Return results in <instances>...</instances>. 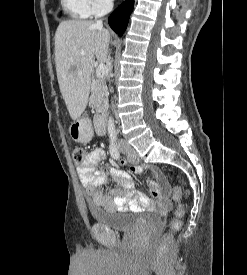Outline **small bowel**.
Listing matches in <instances>:
<instances>
[{"label":"small bowel","mask_w":247,"mask_h":275,"mask_svg":"<svg viewBox=\"0 0 247 275\" xmlns=\"http://www.w3.org/2000/svg\"><path fill=\"white\" fill-rule=\"evenodd\" d=\"M105 152L102 148H94L78 164L77 173L82 185L87 189L94 205L110 212H122L128 209L141 207L151 208L154 206L151 199L144 193L135 189L134 181L130 174L120 168H111L110 174L118 184V188L104 191L102 188L107 182L105 172L96 169L97 165L104 159ZM146 168L135 166V173H142ZM157 184L150 183V192L157 200L162 210L171 207L169 199V185L158 169L152 168Z\"/></svg>","instance_id":"small-bowel-1"}]
</instances>
